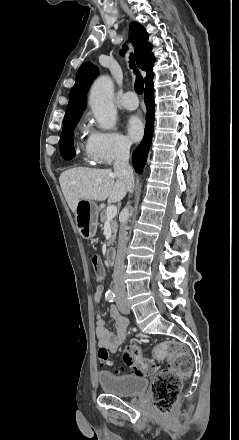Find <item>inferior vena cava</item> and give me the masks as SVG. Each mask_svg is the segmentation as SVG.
<instances>
[{"label":"inferior vena cava","instance_id":"602c4592","mask_svg":"<svg viewBox=\"0 0 239 440\" xmlns=\"http://www.w3.org/2000/svg\"><path fill=\"white\" fill-rule=\"evenodd\" d=\"M131 144L132 142H130L129 138H123V140H121L114 162V172L115 174H118L119 178H121L123 182H125L127 190L130 192V194H132L134 188V174L131 166H129ZM130 216L131 214L129 212V208H124L122 212L123 222H121V226L119 228L118 248L113 272V288L116 294L117 307H132V304L127 302L128 299L123 278L127 242L126 224Z\"/></svg>","mask_w":239,"mask_h":440}]
</instances>
